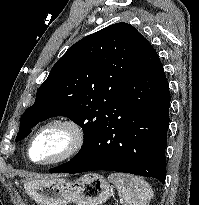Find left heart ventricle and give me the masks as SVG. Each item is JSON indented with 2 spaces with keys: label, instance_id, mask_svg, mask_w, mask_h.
<instances>
[{
  "label": "left heart ventricle",
  "instance_id": "obj_1",
  "mask_svg": "<svg viewBox=\"0 0 199 205\" xmlns=\"http://www.w3.org/2000/svg\"><path fill=\"white\" fill-rule=\"evenodd\" d=\"M68 142L67 133L60 128H52L43 132L35 141L32 158L35 161L50 160L59 155Z\"/></svg>",
  "mask_w": 199,
  "mask_h": 205
}]
</instances>
